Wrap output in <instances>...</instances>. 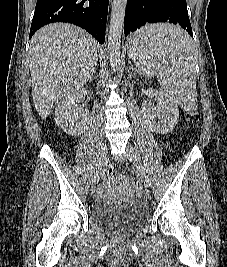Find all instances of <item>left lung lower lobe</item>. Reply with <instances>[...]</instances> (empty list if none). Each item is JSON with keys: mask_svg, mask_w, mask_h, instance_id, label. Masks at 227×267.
Wrapping results in <instances>:
<instances>
[{"mask_svg": "<svg viewBox=\"0 0 227 267\" xmlns=\"http://www.w3.org/2000/svg\"><path fill=\"white\" fill-rule=\"evenodd\" d=\"M168 22L181 26L193 36L186 0H127L124 19L125 36L150 23ZM132 37V35L130 36ZM129 37V38H130ZM135 42L140 43V39ZM177 39L161 41L164 47L178 45Z\"/></svg>", "mask_w": 227, "mask_h": 267, "instance_id": "obj_1", "label": "left lung lower lobe"}]
</instances>
